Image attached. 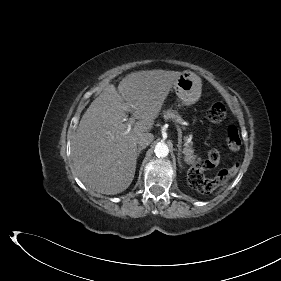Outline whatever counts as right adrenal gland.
I'll use <instances>...</instances> for the list:
<instances>
[{
    "instance_id": "obj_1",
    "label": "right adrenal gland",
    "mask_w": 281,
    "mask_h": 281,
    "mask_svg": "<svg viewBox=\"0 0 281 281\" xmlns=\"http://www.w3.org/2000/svg\"><path fill=\"white\" fill-rule=\"evenodd\" d=\"M143 149H144V148H142V147L138 148V150H137V157H139V155H140V153H141V151H142Z\"/></svg>"
}]
</instances>
